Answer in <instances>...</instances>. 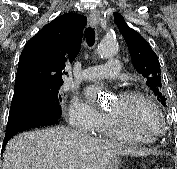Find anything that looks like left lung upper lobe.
Returning a JSON list of instances; mask_svg holds the SVG:
<instances>
[{"label": "left lung upper lobe", "instance_id": "obj_1", "mask_svg": "<svg viewBox=\"0 0 177 169\" xmlns=\"http://www.w3.org/2000/svg\"><path fill=\"white\" fill-rule=\"evenodd\" d=\"M114 20L129 48L135 69L143 76L146 85L154 92L161 104L166 106L167 98L163 95L160 63L150 44L130 28L119 13H114Z\"/></svg>", "mask_w": 177, "mask_h": 169}]
</instances>
